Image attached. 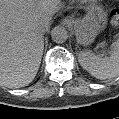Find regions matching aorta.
<instances>
[{"label":"aorta","instance_id":"762f6f07","mask_svg":"<svg viewBox=\"0 0 119 119\" xmlns=\"http://www.w3.org/2000/svg\"><path fill=\"white\" fill-rule=\"evenodd\" d=\"M51 37L56 43H63L68 38L67 30L62 26H56L51 31Z\"/></svg>","mask_w":119,"mask_h":119}]
</instances>
